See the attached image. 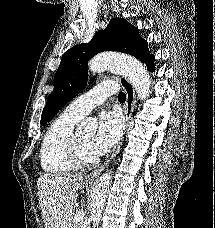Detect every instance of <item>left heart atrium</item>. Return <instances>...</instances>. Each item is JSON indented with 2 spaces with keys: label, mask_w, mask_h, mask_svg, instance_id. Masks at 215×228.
Listing matches in <instances>:
<instances>
[{
  "label": "left heart atrium",
  "mask_w": 215,
  "mask_h": 228,
  "mask_svg": "<svg viewBox=\"0 0 215 228\" xmlns=\"http://www.w3.org/2000/svg\"><path fill=\"white\" fill-rule=\"evenodd\" d=\"M123 131L121 117L115 112H104L99 116V126L92 142L96 156L110 150L120 139Z\"/></svg>",
  "instance_id": "left-heart-atrium-1"
}]
</instances>
